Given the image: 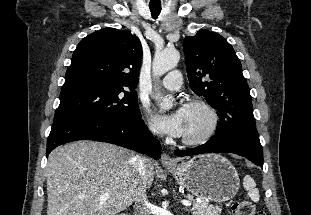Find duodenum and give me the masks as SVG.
<instances>
[{
	"mask_svg": "<svg viewBox=\"0 0 311 215\" xmlns=\"http://www.w3.org/2000/svg\"><path fill=\"white\" fill-rule=\"evenodd\" d=\"M120 215H128V214H120Z\"/></svg>",
	"mask_w": 311,
	"mask_h": 215,
	"instance_id": "duodenum-1",
	"label": "duodenum"
}]
</instances>
